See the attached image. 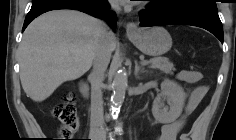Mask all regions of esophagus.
I'll return each mask as SVG.
<instances>
[{
  "label": "esophagus",
  "instance_id": "esophagus-1",
  "mask_svg": "<svg viewBox=\"0 0 236 140\" xmlns=\"http://www.w3.org/2000/svg\"><path fill=\"white\" fill-rule=\"evenodd\" d=\"M126 32H127V34H129V35H132V34L137 33V32H138V26H137V24L134 23V22L128 23L127 26H126Z\"/></svg>",
  "mask_w": 236,
  "mask_h": 140
}]
</instances>
